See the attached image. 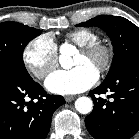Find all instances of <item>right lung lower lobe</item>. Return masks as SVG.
<instances>
[{
  "label": "right lung lower lobe",
  "mask_w": 139,
  "mask_h": 139,
  "mask_svg": "<svg viewBox=\"0 0 139 139\" xmlns=\"http://www.w3.org/2000/svg\"><path fill=\"white\" fill-rule=\"evenodd\" d=\"M64 103L28 72L0 64V139H45L54 111Z\"/></svg>",
  "instance_id": "right-lung-lower-lobe-1"
}]
</instances>
